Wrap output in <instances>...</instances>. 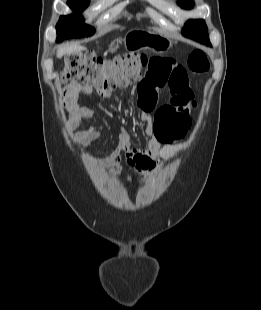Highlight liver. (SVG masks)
Here are the masks:
<instances>
[{"mask_svg": "<svg viewBox=\"0 0 261 310\" xmlns=\"http://www.w3.org/2000/svg\"><path fill=\"white\" fill-rule=\"evenodd\" d=\"M86 50V47H83L79 44H72L70 46L62 47L57 52V57L60 58L64 55H71L74 53H80L81 51Z\"/></svg>", "mask_w": 261, "mask_h": 310, "instance_id": "1", "label": "liver"}]
</instances>
